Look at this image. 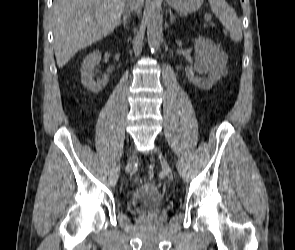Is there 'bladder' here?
Returning a JSON list of instances; mask_svg holds the SVG:
<instances>
[{
    "label": "bladder",
    "mask_w": 295,
    "mask_h": 250,
    "mask_svg": "<svg viewBox=\"0 0 295 250\" xmlns=\"http://www.w3.org/2000/svg\"><path fill=\"white\" fill-rule=\"evenodd\" d=\"M131 202L136 213L153 215L161 210L163 195L155 184L145 183L135 189Z\"/></svg>",
    "instance_id": "31cf9c89"
}]
</instances>
